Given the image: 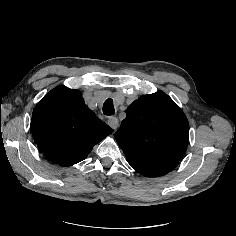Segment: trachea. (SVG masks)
<instances>
[{
	"label": "trachea",
	"mask_w": 236,
	"mask_h": 236,
	"mask_svg": "<svg viewBox=\"0 0 236 236\" xmlns=\"http://www.w3.org/2000/svg\"><path fill=\"white\" fill-rule=\"evenodd\" d=\"M103 113L105 115H113L115 113L112 99L109 98L104 102Z\"/></svg>",
	"instance_id": "1"
}]
</instances>
